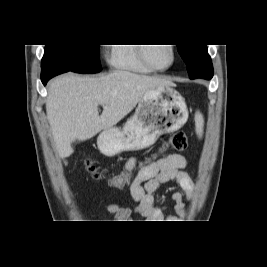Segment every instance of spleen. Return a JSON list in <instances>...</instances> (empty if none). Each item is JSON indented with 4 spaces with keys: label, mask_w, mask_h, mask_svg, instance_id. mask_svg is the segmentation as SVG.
Wrapping results in <instances>:
<instances>
[{
    "label": "spleen",
    "mask_w": 267,
    "mask_h": 267,
    "mask_svg": "<svg viewBox=\"0 0 267 267\" xmlns=\"http://www.w3.org/2000/svg\"><path fill=\"white\" fill-rule=\"evenodd\" d=\"M202 127H203V124H202V121H197V124H196V131H197V134L199 136L202 135Z\"/></svg>",
    "instance_id": "spleen-1"
}]
</instances>
